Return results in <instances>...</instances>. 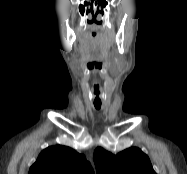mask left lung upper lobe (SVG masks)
I'll return each mask as SVG.
<instances>
[{
  "instance_id": "obj_1",
  "label": "left lung upper lobe",
  "mask_w": 187,
  "mask_h": 174,
  "mask_svg": "<svg viewBox=\"0 0 187 174\" xmlns=\"http://www.w3.org/2000/svg\"><path fill=\"white\" fill-rule=\"evenodd\" d=\"M94 163L97 174H156L148 156L136 147L117 155L98 147L94 152Z\"/></svg>"
}]
</instances>
